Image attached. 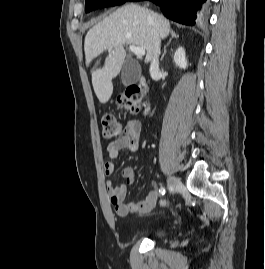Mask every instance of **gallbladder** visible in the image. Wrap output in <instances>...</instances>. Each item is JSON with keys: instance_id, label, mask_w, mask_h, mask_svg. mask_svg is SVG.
I'll return each instance as SVG.
<instances>
[{"instance_id": "gallbladder-1", "label": "gallbladder", "mask_w": 265, "mask_h": 269, "mask_svg": "<svg viewBox=\"0 0 265 269\" xmlns=\"http://www.w3.org/2000/svg\"><path fill=\"white\" fill-rule=\"evenodd\" d=\"M140 75V69L137 64L128 59L124 62L121 72V80L125 86L135 83Z\"/></svg>"}]
</instances>
